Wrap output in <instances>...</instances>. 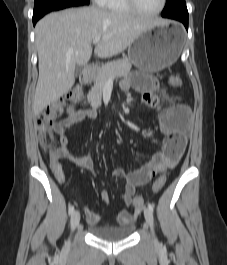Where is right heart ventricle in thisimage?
<instances>
[{
  "mask_svg": "<svg viewBox=\"0 0 227 265\" xmlns=\"http://www.w3.org/2000/svg\"><path fill=\"white\" fill-rule=\"evenodd\" d=\"M99 5L104 9L120 14H134L126 0H99Z\"/></svg>",
  "mask_w": 227,
  "mask_h": 265,
  "instance_id": "e07e8e85",
  "label": "right heart ventricle"
}]
</instances>
